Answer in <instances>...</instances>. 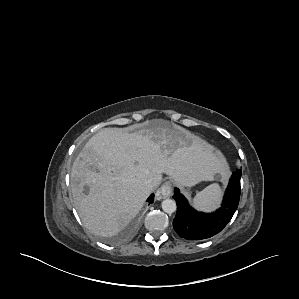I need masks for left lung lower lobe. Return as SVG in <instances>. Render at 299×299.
Returning <instances> with one entry per match:
<instances>
[{"mask_svg": "<svg viewBox=\"0 0 299 299\" xmlns=\"http://www.w3.org/2000/svg\"><path fill=\"white\" fill-rule=\"evenodd\" d=\"M241 174L240 170L232 174L221 208L214 213L196 211L176 188L173 198L177 204V214L173 227L177 234L187 240H203L223 230L238 207Z\"/></svg>", "mask_w": 299, "mask_h": 299, "instance_id": "0a47b994", "label": "left lung lower lobe"}]
</instances>
